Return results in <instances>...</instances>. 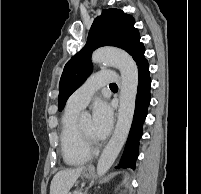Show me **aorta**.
Here are the masks:
<instances>
[{
	"mask_svg": "<svg viewBox=\"0 0 201 194\" xmlns=\"http://www.w3.org/2000/svg\"><path fill=\"white\" fill-rule=\"evenodd\" d=\"M92 61L117 67L121 73L120 106L116 127L97 164V174L103 176L116 160L130 131L138 88V67L125 51L107 47L94 51ZM84 115L89 116L88 113Z\"/></svg>",
	"mask_w": 201,
	"mask_h": 194,
	"instance_id": "1",
	"label": "aorta"
}]
</instances>
